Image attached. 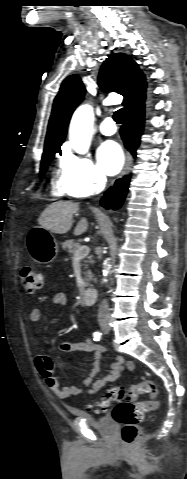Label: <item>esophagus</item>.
Returning a JSON list of instances; mask_svg holds the SVG:
<instances>
[{"mask_svg": "<svg viewBox=\"0 0 187 479\" xmlns=\"http://www.w3.org/2000/svg\"><path fill=\"white\" fill-rule=\"evenodd\" d=\"M130 164H131V157H130L129 154H127L126 163H125V166H124V169H123V172H122L123 175L128 173L129 168H130Z\"/></svg>", "mask_w": 187, "mask_h": 479, "instance_id": "34e87169", "label": "esophagus"}]
</instances>
